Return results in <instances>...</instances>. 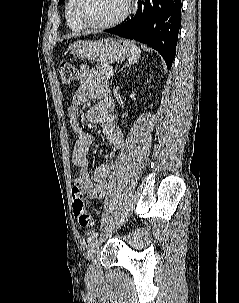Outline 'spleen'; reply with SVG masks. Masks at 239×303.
Instances as JSON below:
<instances>
[{"instance_id":"1","label":"spleen","mask_w":239,"mask_h":303,"mask_svg":"<svg viewBox=\"0 0 239 303\" xmlns=\"http://www.w3.org/2000/svg\"><path fill=\"white\" fill-rule=\"evenodd\" d=\"M127 48V56L129 64H134L138 61L140 57L141 50L133 42L125 41L124 42Z\"/></svg>"}]
</instances>
